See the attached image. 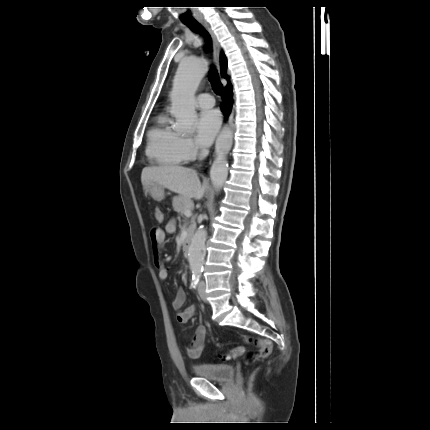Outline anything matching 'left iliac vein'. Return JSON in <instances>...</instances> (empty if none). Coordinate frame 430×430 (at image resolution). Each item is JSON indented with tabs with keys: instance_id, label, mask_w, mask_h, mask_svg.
<instances>
[{
	"instance_id": "left-iliac-vein-1",
	"label": "left iliac vein",
	"mask_w": 430,
	"mask_h": 430,
	"mask_svg": "<svg viewBox=\"0 0 430 430\" xmlns=\"http://www.w3.org/2000/svg\"><path fill=\"white\" fill-rule=\"evenodd\" d=\"M205 288H206L205 282L201 280L198 286V293L203 301H206V298H207Z\"/></svg>"
}]
</instances>
